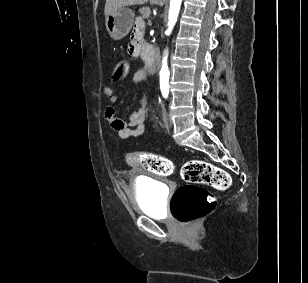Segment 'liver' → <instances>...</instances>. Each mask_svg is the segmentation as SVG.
Instances as JSON below:
<instances>
[{
  "label": "liver",
  "mask_w": 308,
  "mask_h": 283,
  "mask_svg": "<svg viewBox=\"0 0 308 283\" xmlns=\"http://www.w3.org/2000/svg\"><path fill=\"white\" fill-rule=\"evenodd\" d=\"M150 1L152 4L163 5L165 0H106L104 14L107 17L118 7L131 6V5H142Z\"/></svg>",
  "instance_id": "1"
}]
</instances>
